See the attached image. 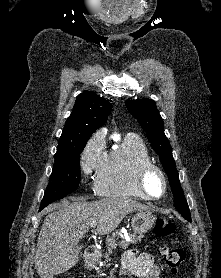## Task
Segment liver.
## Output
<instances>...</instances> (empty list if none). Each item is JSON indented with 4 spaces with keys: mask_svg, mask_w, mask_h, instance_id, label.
<instances>
[{
    "mask_svg": "<svg viewBox=\"0 0 221 278\" xmlns=\"http://www.w3.org/2000/svg\"><path fill=\"white\" fill-rule=\"evenodd\" d=\"M46 216L37 242L35 267L41 278H52L74 267L79 261L78 242L97 222V233L114 231L130 213L151 211L147 205L128 197H110L93 202L74 199Z\"/></svg>",
    "mask_w": 221,
    "mask_h": 278,
    "instance_id": "6515ba94",
    "label": "liver"
}]
</instances>
